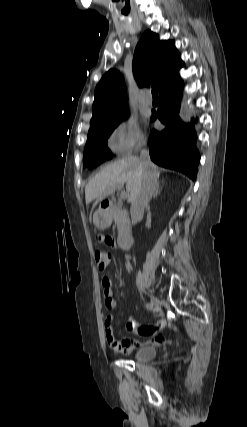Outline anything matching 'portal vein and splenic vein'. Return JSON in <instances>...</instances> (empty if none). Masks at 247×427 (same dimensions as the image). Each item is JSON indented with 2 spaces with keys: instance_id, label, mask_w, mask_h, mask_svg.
<instances>
[{
  "instance_id": "18ae733b",
  "label": "portal vein and splenic vein",
  "mask_w": 247,
  "mask_h": 427,
  "mask_svg": "<svg viewBox=\"0 0 247 427\" xmlns=\"http://www.w3.org/2000/svg\"><path fill=\"white\" fill-rule=\"evenodd\" d=\"M128 196V192H121V194H120V197L123 199V198H126Z\"/></svg>"
}]
</instances>
